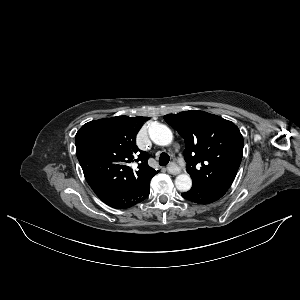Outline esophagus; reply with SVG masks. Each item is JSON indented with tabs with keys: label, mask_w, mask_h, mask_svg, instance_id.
I'll return each mask as SVG.
<instances>
[{
	"label": "esophagus",
	"mask_w": 300,
	"mask_h": 300,
	"mask_svg": "<svg viewBox=\"0 0 300 300\" xmlns=\"http://www.w3.org/2000/svg\"><path fill=\"white\" fill-rule=\"evenodd\" d=\"M167 171L170 173V174H173V175H177L180 173V169L179 167L175 164V163H171L168 167H167Z\"/></svg>",
	"instance_id": "1"
}]
</instances>
